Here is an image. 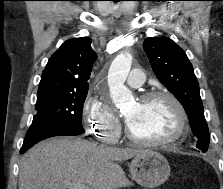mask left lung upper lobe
I'll use <instances>...</instances> for the list:
<instances>
[{"label":"left lung upper lobe","instance_id":"5c2ea615","mask_svg":"<svg viewBox=\"0 0 223 189\" xmlns=\"http://www.w3.org/2000/svg\"><path fill=\"white\" fill-rule=\"evenodd\" d=\"M143 48L159 81L180 101L198 138L196 147L206 152L208 126L192 64L181 47L167 37L147 38Z\"/></svg>","mask_w":223,"mask_h":189}]
</instances>
